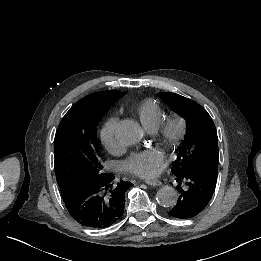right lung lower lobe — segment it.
Returning <instances> with one entry per match:
<instances>
[{
    "instance_id": "right-lung-lower-lobe-1",
    "label": "right lung lower lobe",
    "mask_w": 261,
    "mask_h": 261,
    "mask_svg": "<svg viewBox=\"0 0 261 261\" xmlns=\"http://www.w3.org/2000/svg\"><path fill=\"white\" fill-rule=\"evenodd\" d=\"M114 176L103 173L93 182H76L62 195L70 215L81 225L105 228L119 220L125 208V192L131 183L113 185Z\"/></svg>"
}]
</instances>
